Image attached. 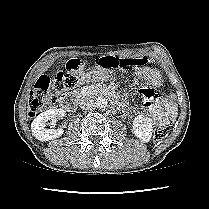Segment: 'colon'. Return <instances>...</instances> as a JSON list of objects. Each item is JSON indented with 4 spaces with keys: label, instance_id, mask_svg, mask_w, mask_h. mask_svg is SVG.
<instances>
[{
    "label": "colon",
    "instance_id": "obj_1",
    "mask_svg": "<svg viewBox=\"0 0 209 209\" xmlns=\"http://www.w3.org/2000/svg\"><path fill=\"white\" fill-rule=\"evenodd\" d=\"M98 65L106 70L118 68L127 71L138 67L150 68L152 61L146 58L133 59L128 56H119L117 58L115 55H108L101 58ZM82 70L83 66L79 61L71 60L66 64L65 70L57 72L53 78L44 75L39 77L30 93L28 115L34 117L43 108L54 105L57 101L56 93L66 92L75 88L80 81ZM168 133L169 127L167 124H164L159 126L156 136L162 139Z\"/></svg>",
    "mask_w": 209,
    "mask_h": 209
}]
</instances>
